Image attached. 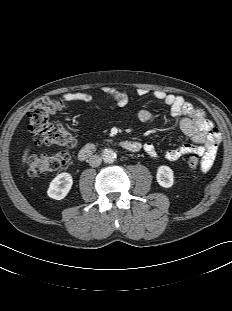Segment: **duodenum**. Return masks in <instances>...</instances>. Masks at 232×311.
Here are the masks:
<instances>
[{
    "mask_svg": "<svg viewBox=\"0 0 232 311\" xmlns=\"http://www.w3.org/2000/svg\"><path fill=\"white\" fill-rule=\"evenodd\" d=\"M120 147L124 150L135 153L140 150V144L135 141H122L120 143ZM96 151V146L94 144H86L79 151V158L81 160L88 159L91 157Z\"/></svg>",
    "mask_w": 232,
    "mask_h": 311,
    "instance_id": "duodenum-1",
    "label": "duodenum"
}]
</instances>
